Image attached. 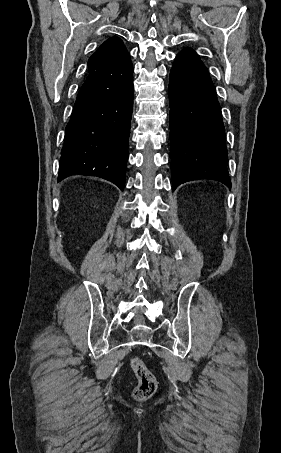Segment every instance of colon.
I'll return each instance as SVG.
<instances>
[{"mask_svg":"<svg viewBox=\"0 0 281 453\" xmlns=\"http://www.w3.org/2000/svg\"><path fill=\"white\" fill-rule=\"evenodd\" d=\"M131 373L137 377L141 384L135 390L134 397L138 401L148 399L155 387V376L152 370L140 359L134 358L130 362Z\"/></svg>","mask_w":281,"mask_h":453,"instance_id":"5ec220e1","label":"colon"}]
</instances>
